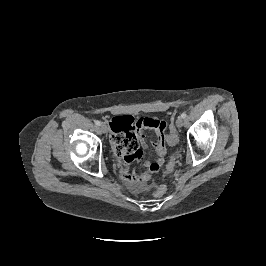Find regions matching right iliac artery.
<instances>
[{"label": "right iliac artery", "instance_id": "obj_1", "mask_svg": "<svg viewBox=\"0 0 266 266\" xmlns=\"http://www.w3.org/2000/svg\"><path fill=\"white\" fill-rule=\"evenodd\" d=\"M95 124H96L97 126H100V125H101V122H100L99 120H97V121H95Z\"/></svg>", "mask_w": 266, "mask_h": 266}]
</instances>
